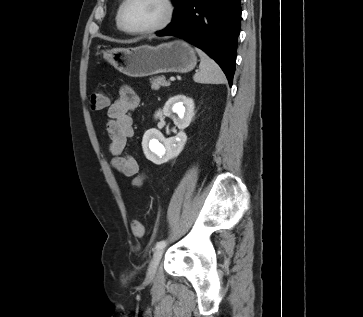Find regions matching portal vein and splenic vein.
Masks as SVG:
<instances>
[{
    "mask_svg": "<svg viewBox=\"0 0 363 317\" xmlns=\"http://www.w3.org/2000/svg\"><path fill=\"white\" fill-rule=\"evenodd\" d=\"M170 81H175V77H170Z\"/></svg>",
    "mask_w": 363,
    "mask_h": 317,
    "instance_id": "18ae733b",
    "label": "portal vein and splenic vein"
}]
</instances>
